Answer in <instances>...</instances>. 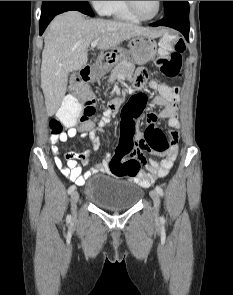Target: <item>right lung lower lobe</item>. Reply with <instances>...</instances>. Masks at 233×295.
<instances>
[{
	"mask_svg": "<svg viewBox=\"0 0 233 295\" xmlns=\"http://www.w3.org/2000/svg\"><path fill=\"white\" fill-rule=\"evenodd\" d=\"M70 10H76L86 15L94 16L87 1H42L40 35L57 14Z\"/></svg>",
	"mask_w": 233,
	"mask_h": 295,
	"instance_id": "98d812e1",
	"label": "right lung lower lobe"
}]
</instances>
